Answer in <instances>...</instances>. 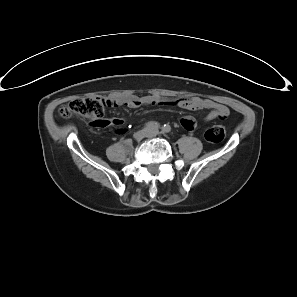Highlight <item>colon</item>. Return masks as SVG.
<instances>
[{
  "instance_id": "obj_1",
  "label": "colon",
  "mask_w": 297,
  "mask_h": 297,
  "mask_svg": "<svg viewBox=\"0 0 297 297\" xmlns=\"http://www.w3.org/2000/svg\"><path fill=\"white\" fill-rule=\"evenodd\" d=\"M106 103L98 97L74 99L60 107L59 114L63 118H69L73 114H76L86 117L89 120L104 119ZM204 136L211 143H219L225 137V128L222 125H213L206 130Z\"/></svg>"
}]
</instances>
